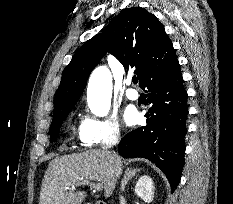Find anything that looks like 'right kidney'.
Masks as SVG:
<instances>
[{
    "instance_id": "ca27d5eb",
    "label": "right kidney",
    "mask_w": 233,
    "mask_h": 204,
    "mask_svg": "<svg viewBox=\"0 0 233 204\" xmlns=\"http://www.w3.org/2000/svg\"><path fill=\"white\" fill-rule=\"evenodd\" d=\"M135 193L144 202H152L154 198V185L152 179L147 175L141 176L136 183Z\"/></svg>"
}]
</instances>
